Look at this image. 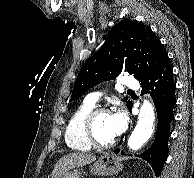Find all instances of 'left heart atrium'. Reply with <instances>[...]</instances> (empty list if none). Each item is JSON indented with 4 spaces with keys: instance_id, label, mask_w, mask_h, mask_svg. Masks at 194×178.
Listing matches in <instances>:
<instances>
[{
    "instance_id": "1",
    "label": "left heart atrium",
    "mask_w": 194,
    "mask_h": 178,
    "mask_svg": "<svg viewBox=\"0 0 194 178\" xmlns=\"http://www.w3.org/2000/svg\"><path fill=\"white\" fill-rule=\"evenodd\" d=\"M111 128L115 136L120 135L127 127V116L123 110L111 114Z\"/></svg>"
}]
</instances>
